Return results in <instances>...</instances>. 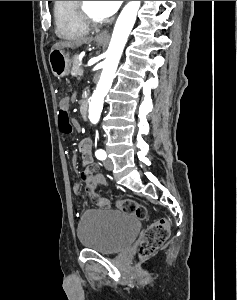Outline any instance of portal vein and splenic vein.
<instances>
[{
  "label": "portal vein and splenic vein",
  "mask_w": 237,
  "mask_h": 300,
  "mask_svg": "<svg viewBox=\"0 0 237 300\" xmlns=\"http://www.w3.org/2000/svg\"><path fill=\"white\" fill-rule=\"evenodd\" d=\"M78 71H79V73L77 74L79 77L80 76H83V69L81 68V67H79L78 69H77Z\"/></svg>",
  "instance_id": "1"
}]
</instances>
